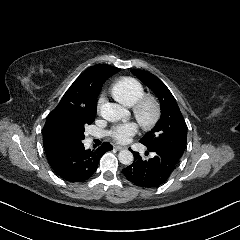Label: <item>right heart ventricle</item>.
I'll use <instances>...</instances> for the list:
<instances>
[{
	"label": "right heart ventricle",
	"instance_id": "obj_1",
	"mask_svg": "<svg viewBox=\"0 0 240 240\" xmlns=\"http://www.w3.org/2000/svg\"><path fill=\"white\" fill-rule=\"evenodd\" d=\"M111 95L121 105L132 107L144 95L143 85L136 79L124 78L117 81L110 89Z\"/></svg>",
	"mask_w": 240,
	"mask_h": 240
}]
</instances>
